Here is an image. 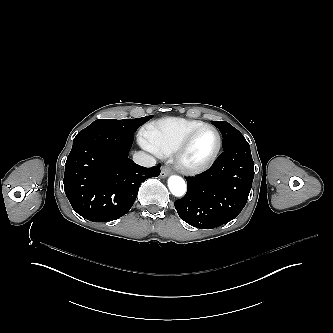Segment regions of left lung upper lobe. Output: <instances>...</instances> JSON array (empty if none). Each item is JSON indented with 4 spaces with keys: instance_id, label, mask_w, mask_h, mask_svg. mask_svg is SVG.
Segmentation results:
<instances>
[{
    "instance_id": "5c2ea615",
    "label": "left lung upper lobe",
    "mask_w": 333,
    "mask_h": 333,
    "mask_svg": "<svg viewBox=\"0 0 333 333\" xmlns=\"http://www.w3.org/2000/svg\"><path fill=\"white\" fill-rule=\"evenodd\" d=\"M212 124L219 128L223 136V150L231 147L234 144L246 142V139L243 137L241 132L228 122L212 121Z\"/></svg>"
}]
</instances>
